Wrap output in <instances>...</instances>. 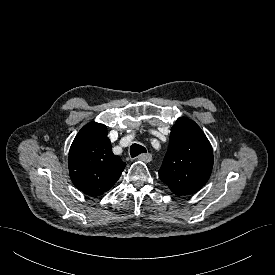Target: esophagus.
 <instances>
[{"mask_svg": "<svg viewBox=\"0 0 275 275\" xmlns=\"http://www.w3.org/2000/svg\"><path fill=\"white\" fill-rule=\"evenodd\" d=\"M138 160L148 163L152 160V155L150 153L141 154L138 156Z\"/></svg>", "mask_w": 275, "mask_h": 275, "instance_id": "1", "label": "esophagus"}]
</instances>
